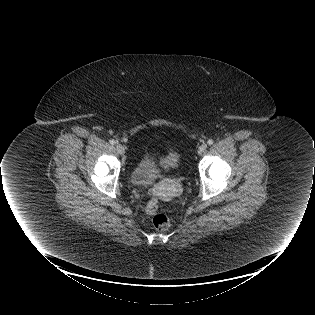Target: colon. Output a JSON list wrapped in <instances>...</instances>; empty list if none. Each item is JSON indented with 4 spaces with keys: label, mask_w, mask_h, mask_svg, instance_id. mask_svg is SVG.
Wrapping results in <instances>:
<instances>
[{
    "label": "colon",
    "mask_w": 315,
    "mask_h": 315,
    "mask_svg": "<svg viewBox=\"0 0 315 315\" xmlns=\"http://www.w3.org/2000/svg\"><path fill=\"white\" fill-rule=\"evenodd\" d=\"M179 160V155L176 152H171L163 161L162 164L165 167H174ZM147 210L150 214H152V222L154 227L158 231H166L169 229L171 225V221L169 216L164 212H159L157 210V202L156 200H151L148 203Z\"/></svg>",
    "instance_id": "5ec220e1"
}]
</instances>
